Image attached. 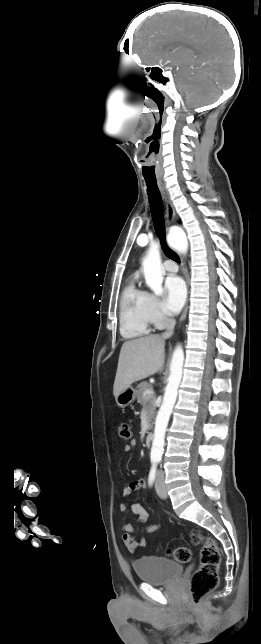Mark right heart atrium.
Masks as SVG:
<instances>
[{
    "instance_id": "right-heart-atrium-1",
    "label": "right heart atrium",
    "mask_w": 261,
    "mask_h": 644,
    "mask_svg": "<svg viewBox=\"0 0 261 644\" xmlns=\"http://www.w3.org/2000/svg\"><path fill=\"white\" fill-rule=\"evenodd\" d=\"M149 313L153 324L157 327H162L169 322V318L165 314L161 302L154 297H150L149 299Z\"/></svg>"
}]
</instances>
